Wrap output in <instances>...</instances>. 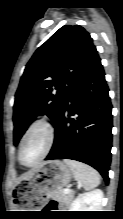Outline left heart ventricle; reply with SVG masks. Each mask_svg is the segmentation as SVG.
I'll use <instances>...</instances> for the list:
<instances>
[{
	"instance_id": "left-heart-ventricle-1",
	"label": "left heart ventricle",
	"mask_w": 123,
	"mask_h": 219,
	"mask_svg": "<svg viewBox=\"0 0 123 219\" xmlns=\"http://www.w3.org/2000/svg\"><path fill=\"white\" fill-rule=\"evenodd\" d=\"M46 143V134L43 130L34 131L24 142L22 159L25 163L36 162L42 155Z\"/></svg>"
}]
</instances>
